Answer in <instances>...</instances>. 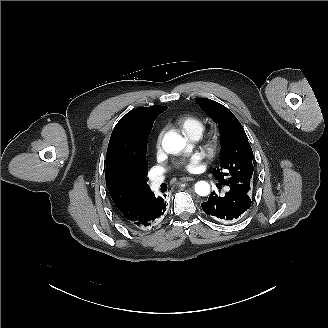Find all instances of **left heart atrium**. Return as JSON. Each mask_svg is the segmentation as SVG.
Segmentation results:
<instances>
[{
    "label": "left heart atrium",
    "instance_id": "39dd6f15",
    "mask_svg": "<svg viewBox=\"0 0 328 328\" xmlns=\"http://www.w3.org/2000/svg\"><path fill=\"white\" fill-rule=\"evenodd\" d=\"M181 168L189 173H198L203 169V165L198 156H191L181 165Z\"/></svg>",
    "mask_w": 328,
    "mask_h": 328
}]
</instances>
